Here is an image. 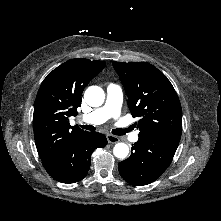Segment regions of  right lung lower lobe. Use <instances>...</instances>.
I'll return each mask as SVG.
<instances>
[{
    "mask_svg": "<svg viewBox=\"0 0 221 221\" xmlns=\"http://www.w3.org/2000/svg\"><path fill=\"white\" fill-rule=\"evenodd\" d=\"M107 139L98 132H86L43 160L48 174L62 183H75L86 177L91 164V154L97 147H105Z\"/></svg>",
    "mask_w": 221,
    "mask_h": 221,
    "instance_id": "98d812e1",
    "label": "right lung lower lobe"
}]
</instances>
